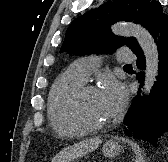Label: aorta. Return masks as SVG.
Instances as JSON below:
<instances>
[{
    "label": "aorta",
    "instance_id": "1",
    "mask_svg": "<svg viewBox=\"0 0 168 162\" xmlns=\"http://www.w3.org/2000/svg\"><path fill=\"white\" fill-rule=\"evenodd\" d=\"M114 31L118 35L134 36L137 39L146 59L143 92L149 95L158 75L159 53L154 39L145 28L134 23L117 24Z\"/></svg>",
    "mask_w": 168,
    "mask_h": 162
}]
</instances>
